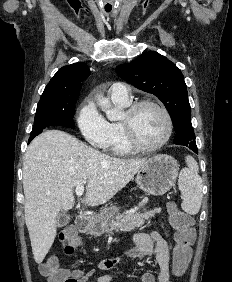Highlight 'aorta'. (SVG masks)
I'll return each instance as SVG.
<instances>
[{"label": "aorta", "mask_w": 232, "mask_h": 282, "mask_svg": "<svg viewBox=\"0 0 232 282\" xmlns=\"http://www.w3.org/2000/svg\"><path fill=\"white\" fill-rule=\"evenodd\" d=\"M97 102L109 120L115 121L120 118V113L111 107L109 99L103 97V95H98Z\"/></svg>", "instance_id": "aorta-1"}]
</instances>
